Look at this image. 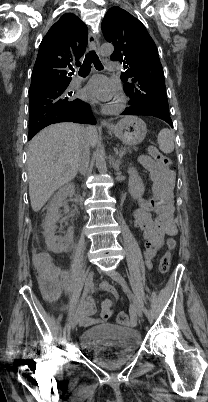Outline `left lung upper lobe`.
Listing matches in <instances>:
<instances>
[{
    "mask_svg": "<svg viewBox=\"0 0 208 402\" xmlns=\"http://www.w3.org/2000/svg\"><path fill=\"white\" fill-rule=\"evenodd\" d=\"M105 39L115 49L112 61L124 66L121 80L129 105L155 108L169 114L163 68L158 50L145 26L120 7H112L102 21Z\"/></svg>",
    "mask_w": 208,
    "mask_h": 402,
    "instance_id": "obj_1",
    "label": "left lung upper lobe"
}]
</instances>
